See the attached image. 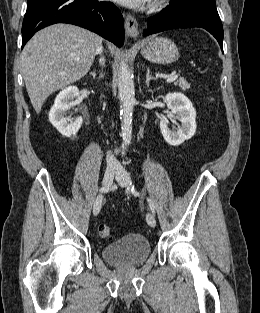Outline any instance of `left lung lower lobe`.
<instances>
[{"instance_id": "obj_1", "label": "left lung lower lobe", "mask_w": 260, "mask_h": 313, "mask_svg": "<svg viewBox=\"0 0 260 313\" xmlns=\"http://www.w3.org/2000/svg\"><path fill=\"white\" fill-rule=\"evenodd\" d=\"M200 27L210 32L223 51V27L216 8L201 5H181L170 2L160 13L148 19L144 35L176 28Z\"/></svg>"}]
</instances>
